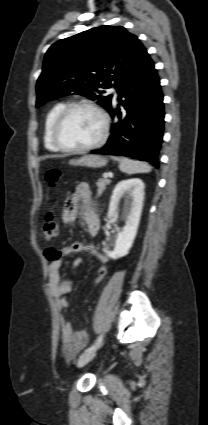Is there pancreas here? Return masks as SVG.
Here are the masks:
<instances>
[{
	"label": "pancreas",
	"mask_w": 208,
	"mask_h": 425,
	"mask_svg": "<svg viewBox=\"0 0 208 425\" xmlns=\"http://www.w3.org/2000/svg\"><path fill=\"white\" fill-rule=\"evenodd\" d=\"M110 183H111V181L108 180V179H99L98 180V182H97V187H98L97 196L98 197L102 194V192L106 189V186L109 185Z\"/></svg>",
	"instance_id": "cf45deb5"
}]
</instances>
